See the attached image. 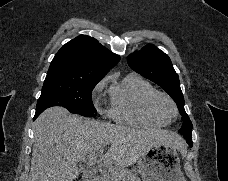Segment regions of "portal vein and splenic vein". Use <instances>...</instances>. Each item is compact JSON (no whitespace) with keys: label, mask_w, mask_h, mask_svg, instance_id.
<instances>
[{"label":"portal vein and splenic vein","mask_w":228,"mask_h":181,"mask_svg":"<svg viewBox=\"0 0 228 181\" xmlns=\"http://www.w3.org/2000/svg\"><path fill=\"white\" fill-rule=\"evenodd\" d=\"M103 151H99L98 155H102ZM97 163V157H91V159H87V165H90V167H94ZM100 167V165H99Z\"/></svg>","instance_id":"portal-vein-and-splenic-vein-1"}]
</instances>
